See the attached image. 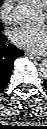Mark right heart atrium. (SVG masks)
Here are the masks:
<instances>
[{
	"label": "right heart atrium",
	"mask_w": 47,
	"mask_h": 129,
	"mask_svg": "<svg viewBox=\"0 0 47 129\" xmlns=\"http://www.w3.org/2000/svg\"><path fill=\"white\" fill-rule=\"evenodd\" d=\"M15 0H2L0 4V16L3 21L11 22L13 18Z\"/></svg>",
	"instance_id": "obj_1"
}]
</instances>
